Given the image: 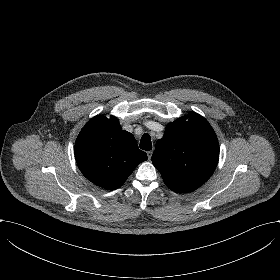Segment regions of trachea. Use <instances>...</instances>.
I'll use <instances>...</instances> for the list:
<instances>
[{
	"label": "trachea",
	"mask_w": 280,
	"mask_h": 280,
	"mask_svg": "<svg viewBox=\"0 0 280 280\" xmlns=\"http://www.w3.org/2000/svg\"><path fill=\"white\" fill-rule=\"evenodd\" d=\"M140 148L142 150H151L152 149V143L150 136L148 134H144L140 141Z\"/></svg>",
	"instance_id": "obj_1"
}]
</instances>
